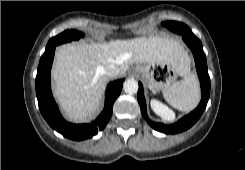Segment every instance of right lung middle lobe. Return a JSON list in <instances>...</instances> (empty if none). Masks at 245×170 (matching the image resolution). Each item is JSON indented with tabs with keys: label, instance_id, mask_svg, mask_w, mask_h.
<instances>
[{
	"label": "right lung middle lobe",
	"instance_id": "right-lung-middle-lobe-1",
	"mask_svg": "<svg viewBox=\"0 0 245 170\" xmlns=\"http://www.w3.org/2000/svg\"><path fill=\"white\" fill-rule=\"evenodd\" d=\"M82 36L83 34L76 30H66L63 33L51 38L46 46V50L49 49L50 47L57 46L65 42L78 40Z\"/></svg>",
	"mask_w": 245,
	"mask_h": 170
}]
</instances>
